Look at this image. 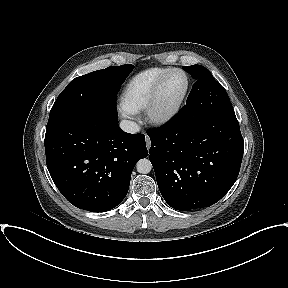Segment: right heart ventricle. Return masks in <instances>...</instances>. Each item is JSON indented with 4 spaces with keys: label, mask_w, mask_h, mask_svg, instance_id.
Wrapping results in <instances>:
<instances>
[{
    "label": "right heart ventricle",
    "mask_w": 288,
    "mask_h": 288,
    "mask_svg": "<svg viewBox=\"0 0 288 288\" xmlns=\"http://www.w3.org/2000/svg\"><path fill=\"white\" fill-rule=\"evenodd\" d=\"M169 69L151 67L135 74L123 94V103L126 107L134 114L144 110L150 101L156 82Z\"/></svg>",
    "instance_id": "1"
}]
</instances>
